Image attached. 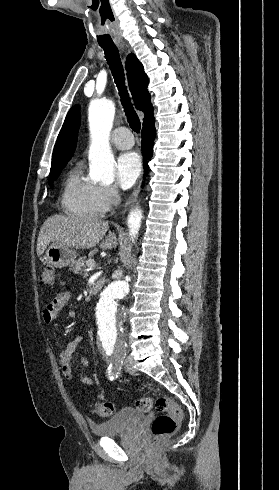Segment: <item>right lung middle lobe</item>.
<instances>
[{
	"mask_svg": "<svg viewBox=\"0 0 279 490\" xmlns=\"http://www.w3.org/2000/svg\"><path fill=\"white\" fill-rule=\"evenodd\" d=\"M63 167L64 166L59 167V168H56V169L50 171L49 185L51 187L53 186V181L56 180V178L58 177V175L61 172V170L63 169Z\"/></svg>",
	"mask_w": 279,
	"mask_h": 490,
	"instance_id": "dd1d6c3e",
	"label": "right lung middle lobe"
}]
</instances>
